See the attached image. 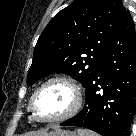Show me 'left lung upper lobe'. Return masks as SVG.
Segmentation results:
<instances>
[{"instance_id": "left-lung-upper-lobe-1", "label": "left lung upper lobe", "mask_w": 136, "mask_h": 136, "mask_svg": "<svg viewBox=\"0 0 136 136\" xmlns=\"http://www.w3.org/2000/svg\"><path fill=\"white\" fill-rule=\"evenodd\" d=\"M128 11L121 0H75L40 35L27 84L65 73L86 87Z\"/></svg>"}]
</instances>
